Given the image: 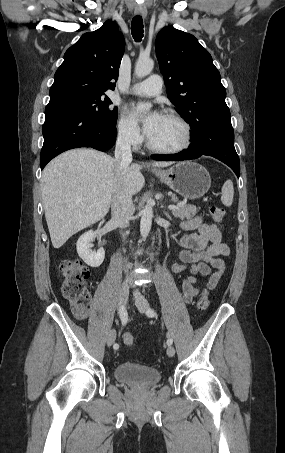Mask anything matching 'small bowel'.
I'll list each match as a JSON object with an SVG mask.
<instances>
[{
  "label": "small bowel",
  "instance_id": "1",
  "mask_svg": "<svg viewBox=\"0 0 285 453\" xmlns=\"http://www.w3.org/2000/svg\"><path fill=\"white\" fill-rule=\"evenodd\" d=\"M180 227L185 231H194L181 238L180 262L172 265V271L176 274L188 272L182 282V294L189 304L199 293L196 287L199 276L207 278L208 288L216 287L225 270L223 257L228 256L229 248L222 242L219 228L203 222L201 217L183 221ZM212 268L216 271L212 272Z\"/></svg>",
  "mask_w": 285,
  "mask_h": 453
}]
</instances>
